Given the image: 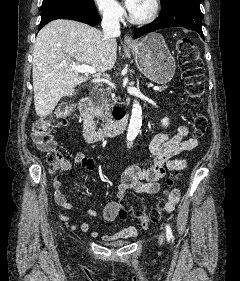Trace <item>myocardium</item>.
Returning a JSON list of instances; mask_svg holds the SVG:
<instances>
[{
	"label": "myocardium",
	"mask_w": 240,
	"mask_h": 281,
	"mask_svg": "<svg viewBox=\"0 0 240 281\" xmlns=\"http://www.w3.org/2000/svg\"><path fill=\"white\" fill-rule=\"evenodd\" d=\"M150 4H151V10L147 16L142 18H137L134 17L130 12L128 15L129 21L135 25H146L153 22L159 13L160 2L159 0H150Z\"/></svg>",
	"instance_id": "obj_1"
}]
</instances>
